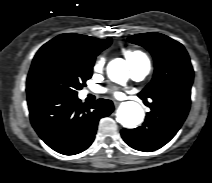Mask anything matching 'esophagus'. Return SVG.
Wrapping results in <instances>:
<instances>
[{"instance_id": "34e87169", "label": "esophagus", "mask_w": 212, "mask_h": 183, "mask_svg": "<svg viewBox=\"0 0 212 183\" xmlns=\"http://www.w3.org/2000/svg\"><path fill=\"white\" fill-rule=\"evenodd\" d=\"M113 102H114V105L115 106H118L119 105V102L118 101L114 100Z\"/></svg>"}]
</instances>
